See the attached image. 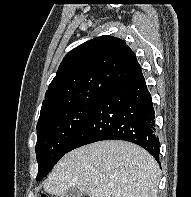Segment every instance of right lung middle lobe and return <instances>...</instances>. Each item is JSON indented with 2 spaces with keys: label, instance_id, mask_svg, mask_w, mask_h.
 <instances>
[{
  "label": "right lung middle lobe",
  "instance_id": "obj_1",
  "mask_svg": "<svg viewBox=\"0 0 191 197\" xmlns=\"http://www.w3.org/2000/svg\"><path fill=\"white\" fill-rule=\"evenodd\" d=\"M97 102L75 105L57 111L37 123V180H41L67 153Z\"/></svg>",
  "mask_w": 191,
  "mask_h": 197
}]
</instances>
